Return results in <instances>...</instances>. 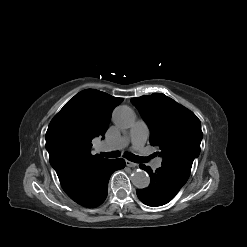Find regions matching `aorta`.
<instances>
[{"instance_id": "aorta-1", "label": "aorta", "mask_w": 247, "mask_h": 247, "mask_svg": "<svg viewBox=\"0 0 247 247\" xmlns=\"http://www.w3.org/2000/svg\"><path fill=\"white\" fill-rule=\"evenodd\" d=\"M114 124L120 129H128L135 122V113L128 106H118L112 114ZM131 182L137 188H145L150 184L149 175L143 170H136L131 174Z\"/></svg>"}]
</instances>
